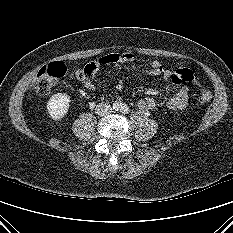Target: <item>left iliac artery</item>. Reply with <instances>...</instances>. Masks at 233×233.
I'll return each mask as SVG.
<instances>
[{
    "label": "left iliac artery",
    "mask_w": 233,
    "mask_h": 233,
    "mask_svg": "<svg viewBox=\"0 0 233 233\" xmlns=\"http://www.w3.org/2000/svg\"><path fill=\"white\" fill-rule=\"evenodd\" d=\"M121 112L124 114H128L129 113V107H127L126 105L121 107Z\"/></svg>",
    "instance_id": "1"
}]
</instances>
